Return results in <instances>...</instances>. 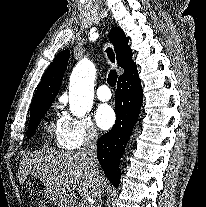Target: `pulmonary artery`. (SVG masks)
<instances>
[{
  "label": "pulmonary artery",
  "mask_w": 206,
  "mask_h": 207,
  "mask_svg": "<svg viewBox=\"0 0 206 207\" xmlns=\"http://www.w3.org/2000/svg\"><path fill=\"white\" fill-rule=\"evenodd\" d=\"M96 96L100 101H108L112 97V93L107 85H101L96 91Z\"/></svg>",
  "instance_id": "e3ab8cb5"
}]
</instances>
